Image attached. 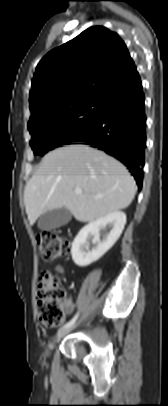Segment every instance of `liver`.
<instances>
[{
    "mask_svg": "<svg viewBox=\"0 0 168 406\" xmlns=\"http://www.w3.org/2000/svg\"><path fill=\"white\" fill-rule=\"evenodd\" d=\"M135 193V181L119 161L86 145H69L43 157L26 184L24 204L31 225L62 207L76 220L92 222L127 208Z\"/></svg>",
    "mask_w": 168,
    "mask_h": 406,
    "instance_id": "1",
    "label": "liver"
}]
</instances>
